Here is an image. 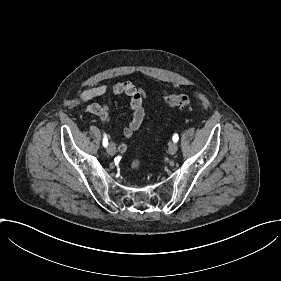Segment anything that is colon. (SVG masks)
Listing matches in <instances>:
<instances>
[{"label":"colon","instance_id":"1","mask_svg":"<svg viewBox=\"0 0 281 281\" xmlns=\"http://www.w3.org/2000/svg\"><path fill=\"white\" fill-rule=\"evenodd\" d=\"M165 103L172 108L189 109L193 105L192 98L186 93H173L165 96Z\"/></svg>","mask_w":281,"mask_h":281}]
</instances>
